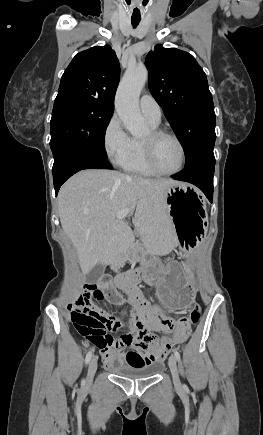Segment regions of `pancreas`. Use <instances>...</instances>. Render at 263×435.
<instances>
[{"label": "pancreas", "instance_id": "obj_1", "mask_svg": "<svg viewBox=\"0 0 263 435\" xmlns=\"http://www.w3.org/2000/svg\"><path fill=\"white\" fill-rule=\"evenodd\" d=\"M139 249H140V245L138 242H136L131 249H129L124 255L118 258L117 262L115 263V266H119L120 264H122L125 260L128 259L130 255H133V253Z\"/></svg>", "mask_w": 263, "mask_h": 435}]
</instances>
